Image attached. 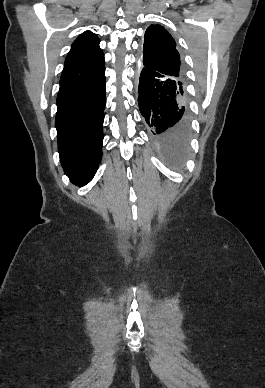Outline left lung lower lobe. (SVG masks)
Segmentation results:
<instances>
[{
  "instance_id": "left-lung-lower-lobe-1",
  "label": "left lung lower lobe",
  "mask_w": 265,
  "mask_h": 388,
  "mask_svg": "<svg viewBox=\"0 0 265 388\" xmlns=\"http://www.w3.org/2000/svg\"><path fill=\"white\" fill-rule=\"evenodd\" d=\"M138 104L152 142L175 166L188 147L189 114L182 84L148 67L142 68Z\"/></svg>"
}]
</instances>
